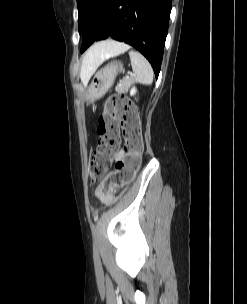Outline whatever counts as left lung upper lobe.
Wrapping results in <instances>:
<instances>
[{
  "mask_svg": "<svg viewBox=\"0 0 247 304\" xmlns=\"http://www.w3.org/2000/svg\"><path fill=\"white\" fill-rule=\"evenodd\" d=\"M107 0H77L78 30L81 34L90 24L100 18Z\"/></svg>",
  "mask_w": 247,
  "mask_h": 304,
  "instance_id": "1",
  "label": "left lung upper lobe"
}]
</instances>
